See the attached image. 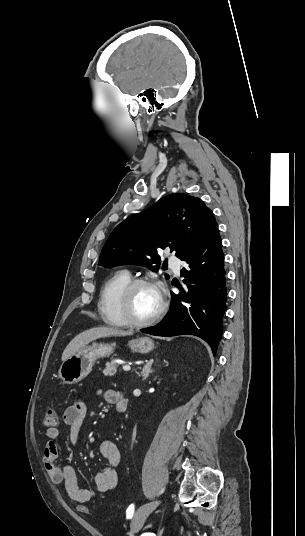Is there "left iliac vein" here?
Segmentation results:
<instances>
[{
  "label": "left iliac vein",
  "mask_w": 305,
  "mask_h": 536,
  "mask_svg": "<svg viewBox=\"0 0 305 536\" xmlns=\"http://www.w3.org/2000/svg\"><path fill=\"white\" fill-rule=\"evenodd\" d=\"M160 504L159 501L147 503L140 506L135 512L132 522L131 531L133 534L140 531L148 515Z\"/></svg>",
  "instance_id": "left-iliac-vein-1"
}]
</instances>
